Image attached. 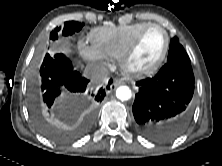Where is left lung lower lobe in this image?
Masks as SVG:
<instances>
[{
	"mask_svg": "<svg viewBox=\"0 0 222 166\" xmlns=\"http://www.w3.org/2000/svg\"><path fill=\"white\" fill-rule=\"evenodd\" d=\"M136 86L132 110L136 128L144 137L168 142L185 131L194 93L190 61H169L154 77L138 81Z\"/></svg>",
	"mask_w": 222,
	"mask_h": 166,
	"instance_id": "obj_1",
	"label": "left lung lower lobe"
}]
</instances>
